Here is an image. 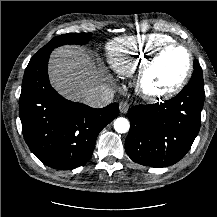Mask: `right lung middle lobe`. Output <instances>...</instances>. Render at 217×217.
<instances>
[{
	"mask_svg": "<svg viewBox=\"0 0 217 217\" xmlns=\"http://www.w3.org/2000/svg\"><path fill=\"white\" fill-rule=\"evenodd\" d=\"M91 33H69L53 38L49 43L42 47L30 60V62L49 55L52 50L64 44H86L90 38Z\"/></svg>",
	"mask_w": 217,
	"mask_h": 217,
	"instance_id": "right-lung-middle-lobe-1",
	"label": "right lung middle lobe"
}]
</instances>
